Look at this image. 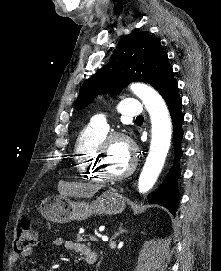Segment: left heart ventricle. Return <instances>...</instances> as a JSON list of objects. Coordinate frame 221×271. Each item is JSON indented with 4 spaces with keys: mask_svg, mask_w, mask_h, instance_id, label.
<instances>
[{
    "mask_svg": "<svg viewBox=\"0 0 221 271\" xmlns=\"http://www.w3.org/2000/svg\"><path fill=\"white\" fill-rule=\"evenodd\" d=\"M120 141H113V146H120ZM121 156H101L100 160L102 164H106V168H108V175H123V168H128L129 164H133V159H128V153L124 152V149H120Z\"/></svg>",
    "mask_w": 221,
    "mask_h": 271,
    "instance_id": "obj_1",
    "label": "left heart ventricle"
}]
</instances>
